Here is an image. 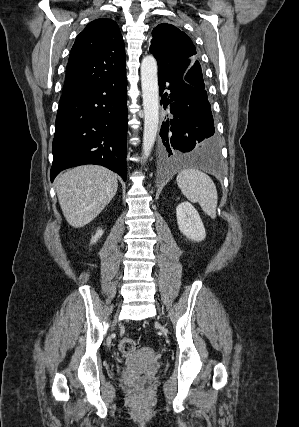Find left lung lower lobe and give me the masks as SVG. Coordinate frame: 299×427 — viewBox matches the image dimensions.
I'll list each match as a JSON object with an SVG mask.
<instances>
[{
	"label": "left lung lower lobe",
	"instance_id": "obj_1",
	"mask_svg": "<svg viewBox=\"0 0 299 427\" xmlns=\"http://www.w3.org/2000/svg\"><path fill=\"white\" fill-rule=\"evenodd\" d=\"M189 61H158L160 104L170 114L161 125V158L166 163L182 161L214 171L220 166L214 120L206 90L185 81ZM165 89L169 91L163 93Z\"/></svg>",
	"mask_w": 299,
	"mask_h": 427
}]
</instances>
